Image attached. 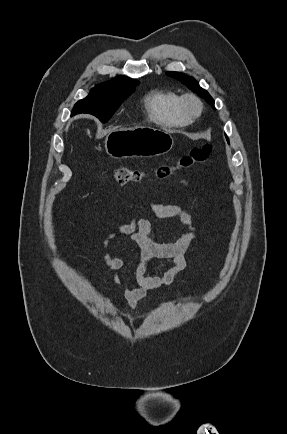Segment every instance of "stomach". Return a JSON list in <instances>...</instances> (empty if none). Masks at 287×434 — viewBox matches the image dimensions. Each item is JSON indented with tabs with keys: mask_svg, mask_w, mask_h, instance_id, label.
<instances>
[{
	"mask_svg": "<svg viewBox=\"0 0 287 434\" xmlns=\"http://www.w3.org/2000/svg\"><path fill=\"white\" fill-rule=\"evenodd\" d=\"M173 145L170 133L151 126L112 130L105 138L106 153L115 159L159 156Z\"/></svg>",
	"mask_w": 287,
	"mask_h": 434,
	"instance_id": "0dacf381",
	"label": "stomach"
}]
</instances>
